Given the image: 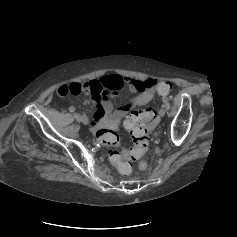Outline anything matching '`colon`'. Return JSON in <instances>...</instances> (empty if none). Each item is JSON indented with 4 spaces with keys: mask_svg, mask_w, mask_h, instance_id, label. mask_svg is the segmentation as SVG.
<instances>
[{
    "mask_svg": "<svg viewBox=\"0 0 237 237\" xmlns=\"http://www.w3.org/2000/svg\"><path fill=\"white\" fill-rule=\"evenodd\" d=\"M157 92L164 96L169 94L172 84L169 81H158L155 83ZM156 114L151 108L133 111L126 120L133 146L129 149L118 150L120 147L119 135L112 129L102 128L96 132V140L107 147L109 161L117 170L127 175L131 172V162L142 158L150 143L149 129L156 124Z\"/></svg>",
    "mask_w": 237,
    "mask_h": 237,
    "instance_id": "5ec220e1",
    "label": "colon"
}]
</instances>
